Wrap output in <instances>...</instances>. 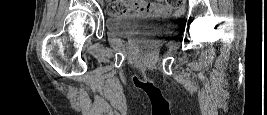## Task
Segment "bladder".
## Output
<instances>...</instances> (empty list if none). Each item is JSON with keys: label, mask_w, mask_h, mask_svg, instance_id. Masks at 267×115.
<instances>
[{"label": "bladder", "mask_w": 267, "mask_h": 115, "mask_svg": "<svg viewBox=\"0 0 267 115\" xmlns=\"http://www.w3.org/2000/svg\"><path fill=\"white\" fill-rule=\"evenodd\" d=\"M161 17L162 15L157 13H126L108 17L106 27L110 33L120 38L157 36L161 31L153 25Z\"/></svg>", "instance_id": "bladder-1"}]
</instances>
